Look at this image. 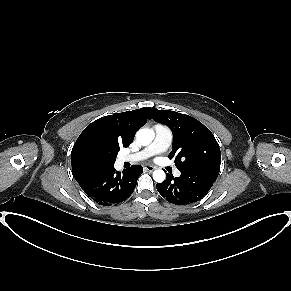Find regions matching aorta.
Listing matches in <instances>:
<instances>
[{"instance_id": "1", "label": "aorta", "mask_w": 291, "mask_h": 291, "mask_svg": "<svg viewBox=\"0 0 291 291\" xmlns=\"http://www.w3.org/2000/svg\"><path fill=\"white\" fill-rule=\"evenodd\" d=\"M136 137H137V141L143 146L149 145L153 140L151 133L146 129L138 130ZM165 178H166V175L163 170H156L153 172V179L156 182L161 183L165 180Z\"/></svg>"}]
</instances>
